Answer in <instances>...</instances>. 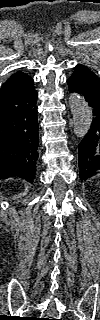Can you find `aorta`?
<instances>
[{"instance_id": "762f6f07", "label": "aorta", "mask_w": 100, "mask_h": 320, "mask_svg": "<svg viewBox=\"0 0 100 320\" xmlns=\"http://www.w3.org/2000/svg\"><path fill=\"white\" fill-rule=\"evenodd\" d=\"M69 106L73 115L74 133L78 138H83L90 129L92 111L85 99L77 93L70 94Z\"/></svg>"}]
</instances>
